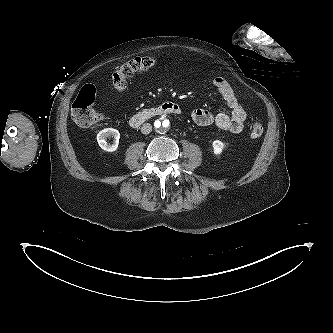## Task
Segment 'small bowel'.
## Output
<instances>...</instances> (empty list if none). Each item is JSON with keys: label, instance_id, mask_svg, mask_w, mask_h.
Segmentation results:
<instances>
[{"label": "small bowel", "instance_id": "obj_1", "mask_svg": "<svg viewBox=\"0 0 333 333\" xmlns=\"http://www.w3.org/2000/svg\"><path fill=\"white\" fill-rule=\"evenodd\" d=\"M214 89L223 97L230 113H212L205 108H197L192 110L191 118L198 126L215 125L221 130L238 134L243 130L246 120V112L239 102V97L229 84L222 78L216 77L212 81Z\"/></svg>", "mask_w": 333, "mask_h": 333}]
</instances>
